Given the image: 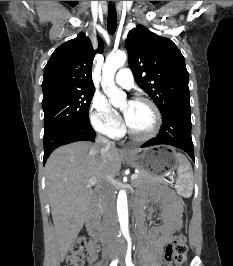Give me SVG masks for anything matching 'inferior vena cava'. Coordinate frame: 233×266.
Returning <instances> with one entry per match:
<instances>
[{
  "mask_svg": "<svg viewBox=\"0 0 233 266\" xmlns=\"http://www.w3.org/2000/svg\"><path fill=\"white\" fill-rule=\"evenodd\" d=\"M96 144L100 146L101 156L104 155L111 147H114V143L98 135L96 138ZM102 198H103V225L105 230L110 234L114 235L117 230V216L115 207V194L114 188L111 181H107L102 186ZM118 245V244H117Z\"/></svg>",
  "mask_w": 233,
  "mask_h": 266,
  "instance_id": "inferior-vena-cava-1",
  "label": "inferior vena cava"
}]
</instances>
